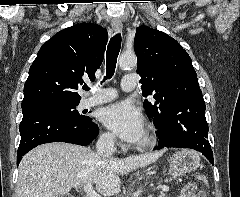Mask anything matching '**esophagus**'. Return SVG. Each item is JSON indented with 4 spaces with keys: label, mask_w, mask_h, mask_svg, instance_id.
Here are the masks:
<instances>
[{
    "label": "esophagus",
    "mask_w": 240,
    "mask_h": 197,
    "mask_svg": "<svg viewBox=\"0 0 240 197\" xmlns=\"http://www.w3.org/2000/svg\"><path fill=\"white\" fill-rule=\"evenodd\" d=\"M111 26H112V29L115 31V32H120L122 30V22L120 19L118 18H113L112 21H111Z\"/></svg>",
    "instance_id": "34e87169"
}]
</instances>
